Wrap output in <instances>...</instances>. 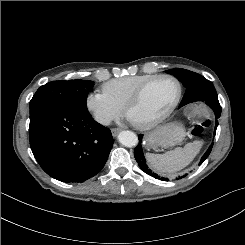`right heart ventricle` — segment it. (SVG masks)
<instances>
[{
    "label": "right heart ventricle",
    "mask_w": 245,
    "mask_h": 245,
    "mask_svg": "<svg viewBox=\"0 0 245 245\" xmlns=\"http://www.w3.org/2000/svg\"><path fill=\"white\" fill-rule=\"evenodd\" d=\"M155 75H131L112 79L102 86L103 92L117 105L124 109L127 101L136 89Z\"/></svg>",
    "instance_id": "right-heart-ventricle-1"
}]
</instances>
